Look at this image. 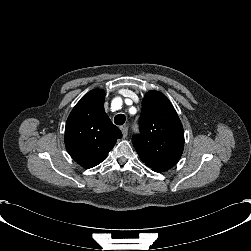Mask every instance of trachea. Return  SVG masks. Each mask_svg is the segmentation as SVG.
I'll use <instances>...</instances> for the list:
<instances>
[{"instance_id":"3493384b","label":"trachea","mask_w":251,"mask_h":251,"mask_svg":"<svg viewBox=\"0 0 251 251\" xmlns=\"http://www.w3.org/2000/svg\"><path fill=\"white\" fill-rule=\"evenodd\" d=\"M125 120H126L125 115H123V114H118V115H116L115 118H114V123H115L116 125H123V124L125 123Z\"/></svg>"}]
</instances>
